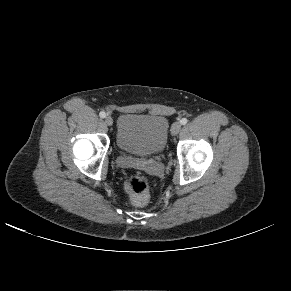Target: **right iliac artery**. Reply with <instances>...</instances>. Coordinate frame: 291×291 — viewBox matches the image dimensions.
<instances>
[{
	"label": "right iliac artery",
	"instance_id": "obj_1",
	"mask_svg": "<svg viewBox=\"0 0 291 291\" xmlns=\"http://www.w3.org/2000/svg\"><path fill=\"white\" fill-rule=\"evenodd\" d=\"M99 116L101 118H105L106 117V113L104 111H102V112L99 113Z\"/></svg>",
	"mask_w": 291,
	"mask_h": 291
}]
</instances>
